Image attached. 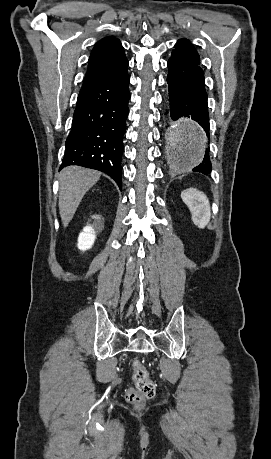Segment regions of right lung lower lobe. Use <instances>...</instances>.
Returning <instances> with one entry per match:
<instances>
[{
	"mask_svg": "<svg viewBox=\"0 0 271 459\" xmlns=\"http://www.w3.org/2000/svg\"><path fill=\"white\" fill-rule=\"evenodd\" d=\"M129 82L126 71L80 90L60 169L69 165L96 169L121 189Z\"/></svg>",
	"mask_w": 271,
	"mask_h": 459,
	"instance_id": "obj_1",
	"label": "right lung lower lobe"
}]
</instances>
